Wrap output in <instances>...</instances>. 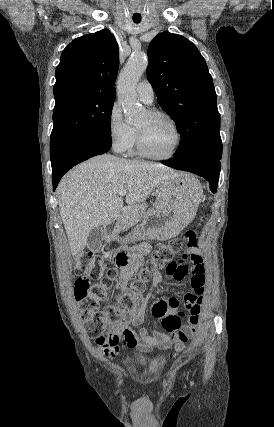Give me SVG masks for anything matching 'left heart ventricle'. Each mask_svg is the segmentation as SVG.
Here are the masks:
<instances>
[{
    "mask_svg": "<svg viewBox=\"0 0 274 427\" xmlns=\"http://www.w3.org/2000/svg\"><path fill=\"white\" fill-rule=\"evenodd\" d=\"M145 150L156 156L168 154L175 144V133L171 124L163 118H152L145 113L136 124Z\"/></svg>",
    "mask_w": 274,
    "mask_h": 427,
    "instance_id": "b2bd125f",
    "label": "left heart ventricle"
}]
</instances>
